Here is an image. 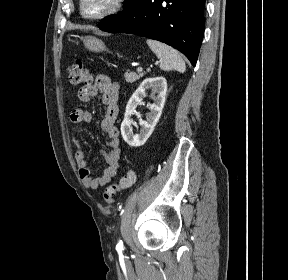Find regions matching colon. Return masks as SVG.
Masks as SVG:
<instances>
[{
  "mask_svg": "<svg viewBox=\"0 0 288 280\" xmlns=\"http://www.w3.org/2000/svg\"><path fill=\"white\" fill-rule=\"evenodd\" d=\"M69 80L73 84H89L91 81V76L80 59H74L68 68ZM136 172L134 170H129L120 179L118 183L109 185L103 194L104 200L108 204H113L115 195L125 189L130 188L136 181Z\"/></svg>",
  "mask_w": 288,
  "mask_h": 280,
  "instance_id": "5ec220e1",
  "label": "colon"
}]
</instances>
